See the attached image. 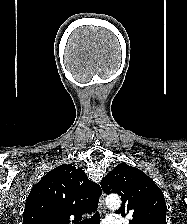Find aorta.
I'll list each match as a JSON object with an SVG mask.
<instances>
[{
    "label": "aorta",
    "mask_w": 187,
    "mask_h": 224,
    "mask_svg": "<svg viewBox=\"0 0 187 224\" xmlns=\"http://www.w3.org/2000/svg\"><path fill=\"white\" fill-rule=\"evenodd\" d=\"M106 205L108 208L115 210L121 205V200L117 195H111L106 198Z\"/></svg>",
    "instance_id": "aorta-1"
}]
</instances>
